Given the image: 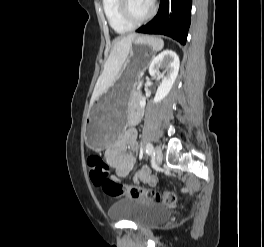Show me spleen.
<instances>
[{
  "mask_svg": "<svg viewBox=\"0 0 264 247\" xmlns=\"http://www.w3.org/2000/svg\"><path fill=\"white\" fill-rule=\"evenodd\" d=\"M145 39L146 43L155 51H160L164 46V42L160 38L146 36Z\"/></svg>",
  "mask_w": 264,
  "mask_h": 247,
  "instance_id": "1",
  "label": "spleen"
}]
</instances>
